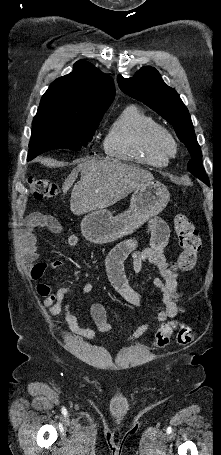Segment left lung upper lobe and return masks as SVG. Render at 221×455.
<instances>
[{"label":"left lung upper lobe","instance_id":"left-lung-upper-lobe-1","mask_svg":"<svg viewBox=\"0 0 221 455\" xmlns=\"http://www.w3.org/2000/svg\"><path fill=\"white\" fill-rule=\"evenodd\" d=\"M117 81L125 94L143 102L172 124L178 138L191 154L188 170L208 184L209 179L202 166V152L189 112L177 92L166 85L158 71L151 66L142 67L132 78L125 79L118 75Z\"/></svg>","mask_w":221,"mask_h":455}]
</instances>
